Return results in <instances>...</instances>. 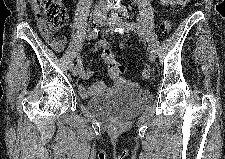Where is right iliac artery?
Instances as JSON below:
<instances>
[{
  "label": "right iliac artery",
  "instance_id": "right-iliac-artery-1",
  "mask_svg": "<svg viewBox=\"0 0 225 159\" xmlns=\"http://www.w3.org/2000/svg\"><path fill=\"white\" fill-rule=\"evenodd\" d=\"M99 33V29L95 28L94 30H92L89 35H88V39L92 40V39H96ZM74 64H71V68L73 67Z\"/></svg>",
  "mask_w": 225,
  "mask_h": 159
}]
</instances>
